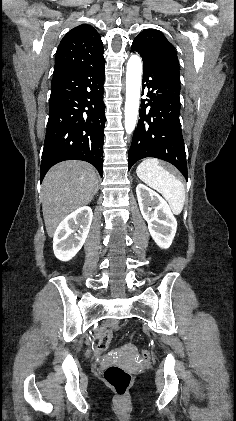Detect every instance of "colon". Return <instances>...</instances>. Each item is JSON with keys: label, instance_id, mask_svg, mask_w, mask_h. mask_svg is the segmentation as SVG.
Returning <instances> with one entry per match:
<instances>
[{"label": "colon", "instance_id": "5ec220e1", "mask_svg": "<svg viewBox=\"0 0 236 421\" xmlns=\"http://www.w3.org/2000/svg\"><path fill=\"white\" fill-rule=\"evenodd\" d=\"M112 329H108L105 335L99 341V349L105 351L108 348L111 339ZM141 355L144 359L151 358V351L143 349ZM105 382L111 387L115 393L123 397L126 395L132 385V374L118 365H110L104 371Z\"/></svg>", "mask_w": 236, "mask_h": 421}]
</instances>
